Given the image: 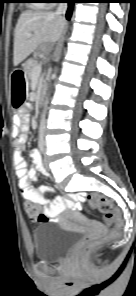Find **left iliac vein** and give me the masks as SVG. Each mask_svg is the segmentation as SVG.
Here are the masks:
<instances>
[{
	"label": "left iliac vein",
	"mask_w": 136,
	"mask_h": 296,
	"mask_svg": "<svg viewBox=\"0 0 136 296\" xmlns=\"http://www.w3.org/2000/svg\"><path fill=\"white\" fill-rule=\"evenodd\" d=\"M44 165L46 169H49V165H48V160H47V156H44Z\"/></svg>",
	"instance_id": "obj_1"
}]
</instances>
